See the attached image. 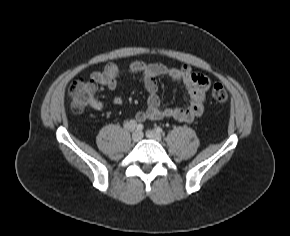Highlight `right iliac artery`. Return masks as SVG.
I'll return each mask as SVG.
<instances>
[{
    "mask_svg": "<svg viewBox=\"0 0 290 236\" xmlns=\"http://www.w3.org/2000/svg\"><path fill=\"white\" fill-rule=\"evenodd\" d=\"M138 131H142L144 126L142 124H137L136 123V127H135Z\"/></svg>",
    "mask_w": 290,
    "mask_h": 236,
    "instance_id": "82829eb1",
    "label": "right iliac artery"
}]
</instances>
